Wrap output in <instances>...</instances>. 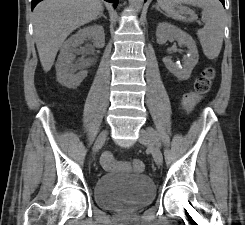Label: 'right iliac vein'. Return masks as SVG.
<instances>
[{"instance_id":"1","label":"right iliac vein","mask_w":245,"mask_h":225,"mask_svg":"<svg viewBox=\"0 0 245 225\" xmlns=\"http://www.w3.org/2000/svg\"><path fill=\"white\" fill-rule=\"evenodd\" d=\"M107 135L108 132L107 131H103L97 138L95 146H94V150L96 151L101 145L104 144V142L107 139Z\"/></svg>"}]
</instances>
